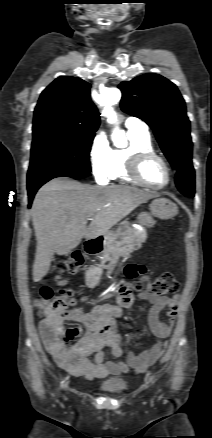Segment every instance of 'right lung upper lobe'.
Wrapping results in <instances>:
<instances>
[{
    "instance_id": "cb5924a9",
    "label": "right lung upper lobe",
    "mask_w": 212,
    "mask_h": 438,
    "mask_svg": "<svg viewBox=\"0 0 212 438\" xmlns=\"http://www.w3.org/2000/svg\"><path fill=\"white\" fill-rule=\"evenodd\" d=\"M99 124V113L90 99V84L77 77L61 76L41 93L34 111L33 132L63 129L89 133L95 132Z\"/></svg>"
}]
</instances>
